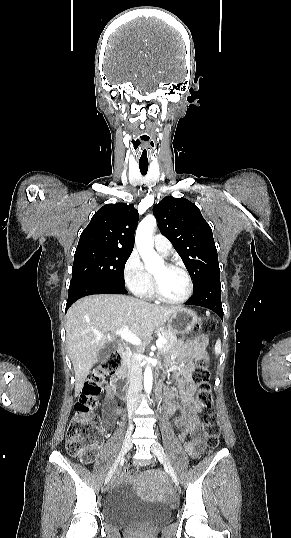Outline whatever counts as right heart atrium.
<instances>
[{
	"mask_svg": "<svg viewBox=\"0 0 291 538\" xmlns=\"http://www.w3.org/2000/svg\"><path fill=\"white\" fill-rule=\"evenodd\" d=\"M123 279L128 289L137 296H145L151 287V277L136 251L131 252L124 263Z\"/></svg>",
	"mask_w": 291,
	"mask_h": 538,
	"instance_id": "1",
	"label": "right heart atrium"
}]
</instances>
